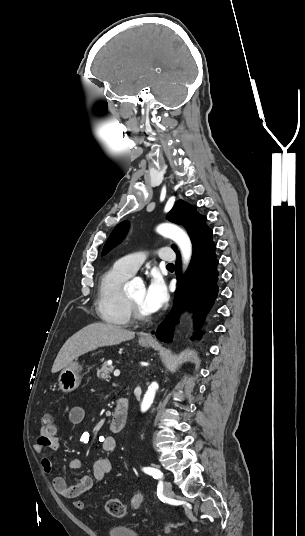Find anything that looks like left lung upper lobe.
Instances as JSON below:
<instances>
[{"mask_svg":"<svg viewBox=\"0 0 305 536\" xmlns=\"http://www.w3.org/2000/svg\"><path fill=\"white\" fill-rule=\"evenodd\" d=\"M167 219L171 222L184 226L188 230L192 244L209 229V227L205 224L206 217L198 214L194 206L189 205L183 200H178L175 203L174 207L169 212ZM128 227L129 224L124 221L114 228L104 245L102 255H105L109 250L123 240L127 233ZM172 248L177 252L176 246L173 245ZM178 254L179 252H177V255Z\"/></svg>","mask_w":305,"mask_h":536,"instance_id":"5c2ea615","label":"left lung upper lobe"}]
</instances>
